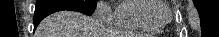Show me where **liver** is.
I'll use <instances>...</instances> for the list:
<instances>
[{"label": "liver", "instance_id": "liver-1", "mask_svg": "<svg viewBox=\"0 0 219 37\" xmlns=\"http://www.w3.org/2000/svg\"><path fill=\"white\" fill-rule=\"evenodd\" d=\"M102 34L98 22L70 10H62L46 17L36 31V37H100Z\"/></svg>", "mask_w": 219, "mask_h": 37}]
</instances>
